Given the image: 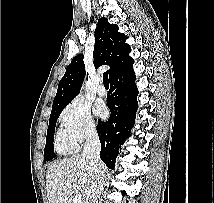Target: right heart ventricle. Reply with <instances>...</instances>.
I'll list each match as a JSON object with an SVG mask.
<instances>
[{"mask_svg": "<svg viewBox=\"0 0 214 203\" xmlns=\"http://www.w3.org/2000/svg\"><path fill=\"white\" fill-rule=\"evenodd\" d=\"M55 147L60 154L71 153L77 148L63 131H59L57 133L55 138Z\"/></svg>", "mask_w": 214, "mask_h": 203, "instance_id": "1", "label": "right heart ventricle"}]
</instances>
